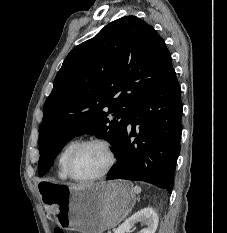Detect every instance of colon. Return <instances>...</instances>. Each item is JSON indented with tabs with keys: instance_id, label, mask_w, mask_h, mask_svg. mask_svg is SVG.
Here are the masks:
<instances>
[{
	"instance_id": "obj_1",
	"label": "colon",
	"mask_w": 227,
	"mask_h": 233,
	"mask_svg": "<svg viewBox=\"0 0 227 233\" xmlns=\"http://www.w3.org/2000/svg\"><path fill=\"white\" fill-rule=\"evenodd\" d=\"M54 233H65V231L60 228H56Z\"/></svg>"
}]
</instances>
